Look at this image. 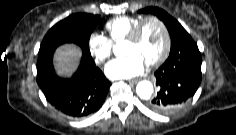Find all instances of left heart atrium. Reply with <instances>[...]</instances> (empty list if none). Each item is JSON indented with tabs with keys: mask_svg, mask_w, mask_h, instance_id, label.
<instances>
[{
	"mask_svg": "<svg viewBox=\"0 0 236 135\" xmlns=\"http://www.w3.org/2000/svg\"><path fill=\"white\" fill-rule=\"evenodd\" d=\"M145 61L135 53L110 61L105 67V74L110 79H128L140 75L145 68Z\"/></svg>",
	"mask_w": 236,
	"mask_h": 135,
	"instance_id": "39dd6f15",
	"label": "left heart atrium"
}]
</instances>
